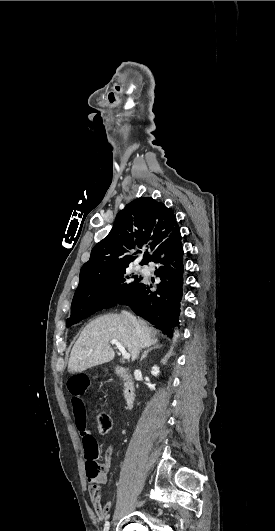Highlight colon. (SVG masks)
<instances>
[{"label":"colon","mask_w":275,"mask_h":531,"mask_svg":"<svg viewBox=\"0 0 275 531\" xmlns=\"http://www.w3.org/2000/svg\"><path fill=\"white\" fill-rule=\"evenodd\" d=\"M81 377H92L90 375H83ZM89 393V392H87ZM97 429L100 434H106L111 429L112 421L110 416L105 412H98L95 415Z\"/></svg>","instance_id":"1"}]
</instances>
